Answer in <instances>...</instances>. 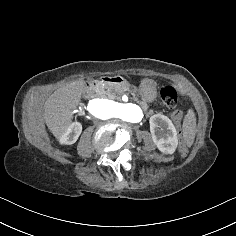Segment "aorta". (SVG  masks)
<instances>
[{"label":"aorta","instance_id":"obj_1","mask_svg":"<svg viewBox=\"0 0 236 236\" xmlns=\"http://www.w3.org/2000/svg\"><path fill=\"white\" fill-rule=\"evenodd\" d=\"M87 109L93 117L102 120L118 118L125 122L139 123L144 116L142 109L136 104L118 103L100 98L90 100Z\"/></svg>","mask_w":236,"mask_h":236}]
</instances>
